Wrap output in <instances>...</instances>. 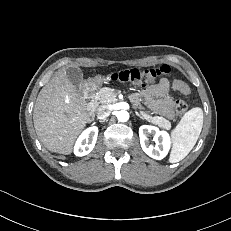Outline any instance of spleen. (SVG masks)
<instances>
[{
    "instance_id": "3e777b00",
    "label": "spleen",
    "mask_w": 231,
    "mask_h": 231,
    "mask_svg": "<svg viewBox=\"0 0 231 231\" xmlns=\"http://www.w3.org/2000/svg\"><path fill=\"white\" fill-rule=\"evenodd\" d=\"M203 127V111L192 108L184 114L179 124L172 130L173 149L169 162L176 163L184 159L196 144Z\"/></svg>"
}]
</instances>
